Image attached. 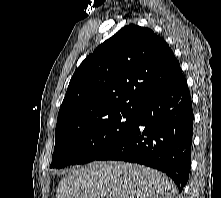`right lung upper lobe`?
I'll return each instance as SVG.
<instances>
[{"instance_id": "1", "label": "right lung upper lobe", "mask_w": 221, "mask_h": 198, "mask_svg": "<svg viewBox=\"0 0 221 198\" xmlns=\"http://www.w3.org/2000/svg\"><path fill=\"white\" fill-rule=\"evenodd\" d=\"M183 77L167 43L134 24L99 45L77 68L58 113L55 137L117 113L138 114Z\"/></svg>"}]
</instances>
